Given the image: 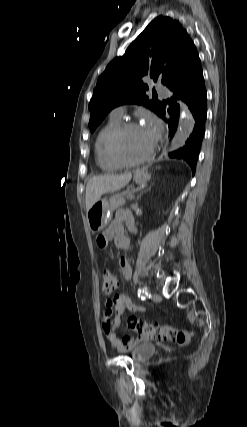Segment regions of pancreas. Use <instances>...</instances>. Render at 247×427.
I'll return each instance as SVG.
<instances>
[{
	"mask_svg": "<svg viewBox=\"0 0 247 427\" xmlns=\"http://www.w3.org/2000/svg\"><path fill=\"white\" fill-rule=\"evenodd\" d=\"M130 194H131L130 191H126V192L111 196L110 204H111L112 210L123 206L126 203L125 198H128Z\"/></svg>",
	"mask_w": 247,
	"mask_h": 427,
	"instance_id": "pancreas-1",
	"label": "pancreas"
}]
</instances>
